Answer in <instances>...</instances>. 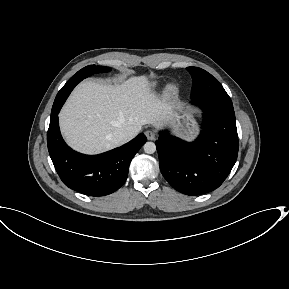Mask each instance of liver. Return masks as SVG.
I'll use <instances>...</instances> for the list:
<instances>
[{"label": "liver", "mask_w": 289, "mask_h": 289, "mask_svg": "<svg viewBox=\"0 0 289 289\" xmlns=\"http://www.w3.org/2000/svg\"><path fill=\"white\" fill-rule=\"evenodd\" d=\"M173 111L172 103L151 91L145 76L131 77L115 86L85 81L68 98L59 122L69 146L82 153L97 154L118 146L111 138L116 130H125L131 140L143 125L166 127Z\"/></svg>", "instance_id": "obj_1"}]
</instances>
